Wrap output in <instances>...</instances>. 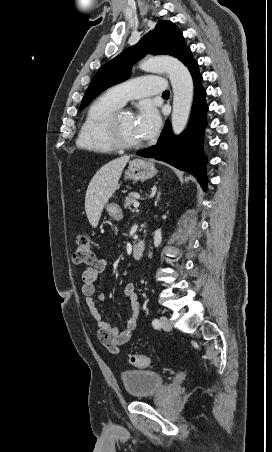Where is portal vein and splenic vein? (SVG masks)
<instances>
[{"label": "portal vein and splenic vein", "mask_w": 272, "mask_h": 452, "mask_svg": "<svg viewBox=\"0 0 272 452\" xmlns=\"http://www.w3.org/2000/svg\"><path fill=\"white\" fill-rule=\"evenodd\" d=\"M139 205H140V203L139 202H135L134 204H133V206H134V208H138L139 207Z\"/></svg>", "instance_id": "1"}]
</instances>
